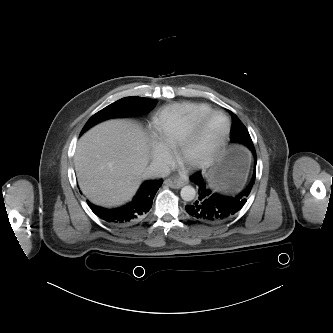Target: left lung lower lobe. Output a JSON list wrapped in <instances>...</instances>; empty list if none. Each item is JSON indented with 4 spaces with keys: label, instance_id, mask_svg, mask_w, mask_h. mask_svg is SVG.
<instances>
[{
    "label": "left lung lower lobe",
    "instance_id": "obj_1",
    "mask_svg": "<svg viewBox=\"0 0 333 333\" xmlns=\"http://www.w3.org/2000/svg\"><path fill=\"white\" fill-rule=\"evenodd\" d=\"M254 158V174L249 186L241 193L228 196L211 191L207 179L197 172L190 177L198 187V199L192 204L186 206V211L196 220L202 222H222L237 213L246 203L253 184L255 182V171L257 157L256 152H252Z\"/></svg>",
    "mask_w": 333,
    "mask_h": 333
}]
</instances>
